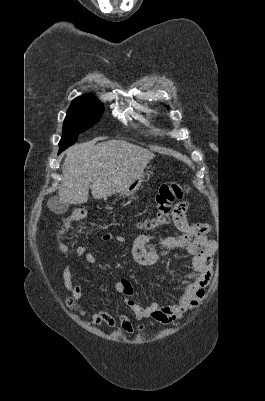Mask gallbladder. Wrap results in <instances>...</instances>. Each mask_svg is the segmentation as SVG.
<instances>
[{"mask_svg": "<svg viewBox=\"0 0 265 401\" xmlns=\"http://www.w3.org/2000/svg\"><path fill=\"white\" fill-rule=\"evenodd\" d=\"M47 207L48 209H50V211L56 213V215H62V213H66V211H68L70 205H68V203H63V201H60V198H58V196H51L47 203Z\"/></svg>", "mask_w": 265, "mask_h": 401, "instance_id": "bac80fb5", "label": "gallbladder"}]
</instances>
